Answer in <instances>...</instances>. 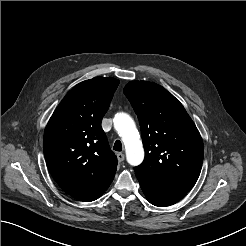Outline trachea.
I'll return each mask as SVG.
<instances>
[{
    "label": "trachea",
    "instance_id": "obj_1",
    "mask_svg": "<svg viewBox=\"0 0 246 246\" xmlns=\"http://www.w3.org/2000/svg\"><path fill=\"white\" fill-rule=\"evenodd\" d=\"M113 149L115 151H122V143L119 140H117L114 144Z\"/></svg>",
    "mask_w": 246,
    "mask_h": 246
}]
</instances>
